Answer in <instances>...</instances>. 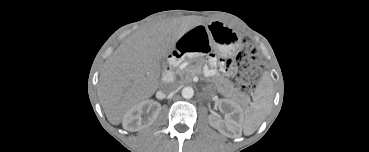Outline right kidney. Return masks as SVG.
I'll return each instance as SVG.
<instances>
[{
    "label": "right kidney",
    "instance_id": "1",
    "mask_svg": "<svg viewBox=\"0 0 369 152\" xmlns=\"http://www.w3.org/2000/svg\"><path fill=\"white\" fill-rule=\"evenodd\" d=\"M160 111V103L144 100L126 112L123 122L129 131H139L152 125L158 118ZM145 112L146 115H144Z\"/></svg>",
    "mask_w": 369,
    "mask_h": 152
}]
</instances>
